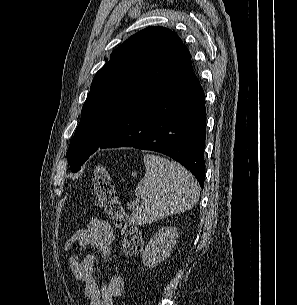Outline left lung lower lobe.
<instances>
[{
	"instance_id": "1",
	"label": "left lung lower lobe",
	"mask_w": 297,
	"mask_h": 305,
	"mask_svg": "<svg viewBox=\"0 0 297 305\" xmlns=\"http://www.w3.org/2000/svg\"><path fill=\"white\" fill-rule=\"evenodd\" d=\"M206 111L204 92L191 72L149 88L99 147H134L181 163L204 187Z\"/></svg>"
}]
</instances>
